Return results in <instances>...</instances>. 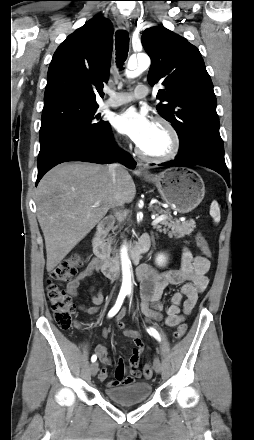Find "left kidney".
Instances as JSON below:
<instances>
[{"instance_id":"obj_1","label":"left kidney","mask_w":254,"mask_h":440,"mask_svg":"<svg viewBox=\"0 0 254 440\" xmlns=\"http://www.w3.org/2000/svg\"><path fill=\"white\" fill-rule=\"evenodd\" d=\"M167 259H168V258L166 257L165 254L160 253V254H158V255L156 256V258H155V263H156L157 266H159V267H163V266L166 265V263H167Z\"/></svg>"}]
</instances>
